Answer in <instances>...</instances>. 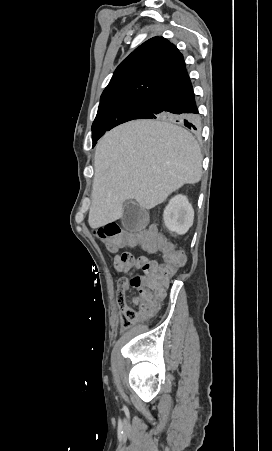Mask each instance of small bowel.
I'll list each match as a JSON object with an SVG mask.
<instances>
[{"instance_id": "1", "label": "small bowel", "mask_w": 272, "mask_h": 451, "mask_svg": "<svg viewBox=\"0 0 272 451\" xmlns=\"http://www.w3.org/2000/svg\"><path fill=\"white\" fill-rule=\"evenodd\" d=\"M147 251V249H145ZM131 270H127V272L125 274H128ZM119 278H118V283H117V293H118V299H117V303L120 309V318H121V312L122 311H136L134 309H132L128 304H127V299L130 298V294H129V288H128V281L130 279H128L127 277L123 276L124 274H119ZM131 301L134 304H137L136 298H130ZM138 312V320H142L147 311L144 309H140ZM120 326L122 328V323H121V319H120Z\"/></svg>"}]
</instances>
